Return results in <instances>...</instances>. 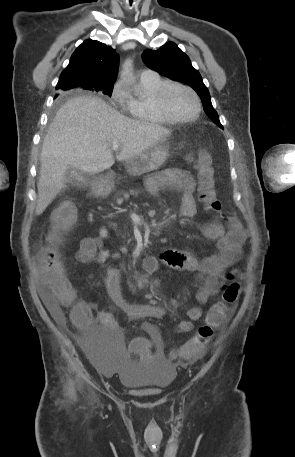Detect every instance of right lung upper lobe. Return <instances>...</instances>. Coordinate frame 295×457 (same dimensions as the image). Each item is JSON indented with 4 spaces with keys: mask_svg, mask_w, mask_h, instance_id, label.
<instances>
[{
    "mask_svg": "<svg viewBox=\"0 0 295 457\" xmlns=\"http://www.w3.org/2000/svg\"><path fill=\"white\" fill-rule=\"evenodd\" d=\"M119 56L115 50L96 40H85L71 56L62 71L56 89L67 90L72 85L85 83L95 87L114 84L118 74ZM81 88V87H80Z\"/></svg>",
    "mask_w": 295,
    "mask_h": 457,
    "instance_id": "right-lung-upper-lobe-1",
    "label": "right lung upper lobe"
}]
</instances>
